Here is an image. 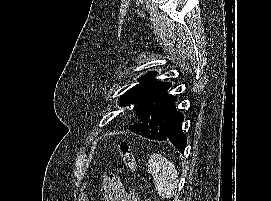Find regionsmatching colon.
I'll return each mask as SVG.
<instances>
[{
    "label": "colon",
    "mask_w": 271,
    "mask_h": 201,
    "mask_svg": "<svg viewBox=\"0 0 271 201\" xmlns=\"http://www.w3.org/2000/svg\"><path fill=\"white\" fill-rule=\"evenodd\" d=\"M116 151L125 167L129 171L134 172L136 169V161L130 144L127 142H120L116 145ZM131 201H137V198L132 196Z\"/></svg>",
    "instance_id": "colon-1"
}]
</instances>
